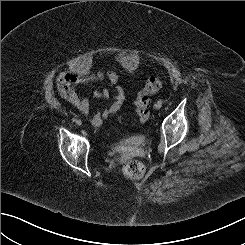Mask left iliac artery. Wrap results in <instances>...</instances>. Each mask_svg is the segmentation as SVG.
<instances>
[{
  "label": "left iliac artery",
  "mask_w": 245,
  "mask_h": 245,
  "mask_svg": "<svg viewBox=\"0 0 245 245\" xmlns=\"http://www.w3.org/2000/svg\"><path fill=\"white\" fill-rule=\"evenodd\" d=\"M157 103L160 104V105H162L163 104V101L162 100H158Z\"/></svg>",
  "instance_id": "obj_1"
}]
</instances>
